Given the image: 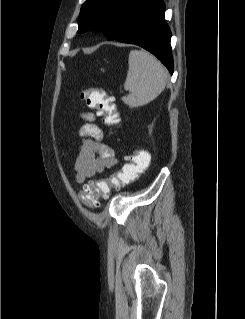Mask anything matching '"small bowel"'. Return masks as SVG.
Returning a JSON list of instances; mask_svg holds the SVG:
<instances>
[{
	"instance_id": "c3829d8e",
	"label": "small bowel",
	"mask_w": 245,
	"mask_h": 319,
	"mask_svg": "<svg viewBox=\"0 0 245 319\" xmlns=\"http://www.w3.org/2000/svg\"><path fill=\"white\" fill-rule=\"evenodd\" d=\"M82 117L87 122L78 131V136L83 140L74 165L78 182H84L116 165L114 150L104 142L103 131L94 123V116L84 113Z\"/></svg>"
}]
</instances>
